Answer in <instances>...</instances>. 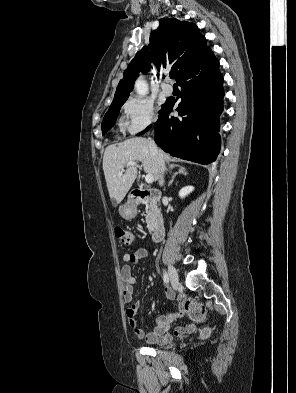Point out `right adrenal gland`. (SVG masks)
Here are the masks:
<instances>
[{"label":"right adrenal gland","mask_w":296,"mask_h":393,"mask_svg":"<svg viewBox=\"0 0 296 393\" xmlns=\"http://www.w3.org/2000/svg\"><path fill=\"white\" fill-rule=\"evenodd\" d=\"M175 167L178 168V171L175 172V173H173L172 178H171V180L169 181L168 186H171V185L173 184L175 178H176L178 175H184V176H186V175L188 174L187 171H186V169H185L184 167H181V166L176 165V166H171L170 168H171V170H172V169L175 168Z\"/></svg>","instance_id":"1"}]
</instances>
